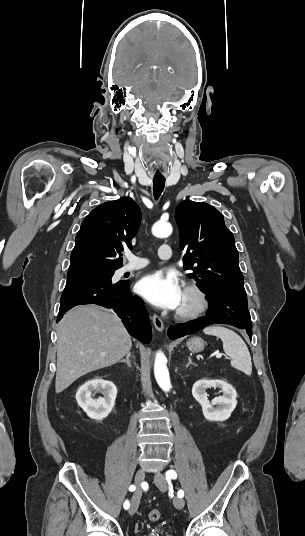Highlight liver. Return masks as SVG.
<instances>
[{
	"label": "liver",
	"mask_w": 305,
	"mask_h": 536,
	"mask_svg": "<svg viewBox=\"0 0 305 536\" xmlns=\"http://www.w3.org/2000/svg\"><path fill=\"white\" fill-rule=\"evenodd\" d=\"M55 390L60 394L88 372L117 364L132 342L121 320L101 306H78L58 324Z\"/></svg>",
	"instance_id": "obj_1"
}]
</instances>
